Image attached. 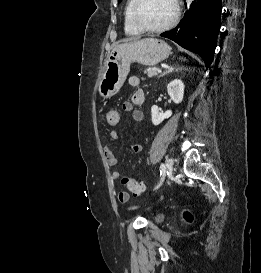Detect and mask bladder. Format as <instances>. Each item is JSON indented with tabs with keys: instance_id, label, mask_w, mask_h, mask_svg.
Instances as JSON below:
<instances>
[{
	"instance_id": "bladder-1",
	"label": "bladder",
	"mask_w": 261,
	"mask_h": 273,
	"mask_svg": "<svg viewBox=\"0 0 261 273\" xmlns=\"http://www.w3.org/2000/svg\"><path fill=\"white\" fill-rule=\"evenodd\" d=\"M162 219H163L162 216H158V217L156 218L157 221H161Z\"/></svg>"
}]
</instances>
